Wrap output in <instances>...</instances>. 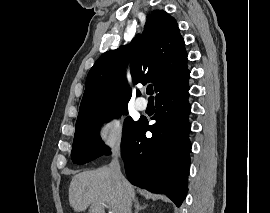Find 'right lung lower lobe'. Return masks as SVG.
I'll use <instances>...</instances> for the list:
<instances>
[{
    "label": "right lung lower lobe",
    "instance_id": "98d812e1",
    "mask_svg": "<svg viewBox=\"0 0 270 213\" xmlns=\"http://www.w3.org/2000/svg\"><path fill=\"white\" fill-rule=\"evenodd\" d=\"M190 71L163 87L155 97L153 125L138 120L122 139L121 155L128 180L141 188L166 194L180 206L187 194L191 144L188 116ZM152 132L147 138L145 132Z\"/></svg>",
    "mask_w": 270,
    "mask_h": 213
}]
</instances>
